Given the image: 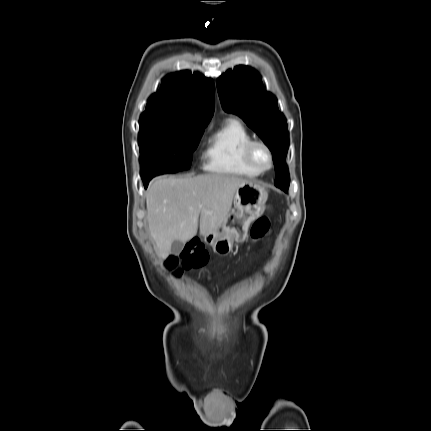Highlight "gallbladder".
I'll return each mask as SVG.
<instances>
[{"label":"gallbladder","mask_w":431,"mask_h":431,"mask_svg":"<svg viewBox=\"0 0 431 431\" xmlns=\"http://www.w3.org/2000/svg\"><path fill=\"white\" fill-rule=\"evenodd\" d=\"M184 248V242L180 240H175L171 246V253L174 255H179Z\"/></svg>","instance_id":"obj_1"}]
</instances>
